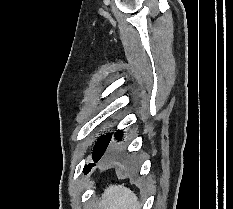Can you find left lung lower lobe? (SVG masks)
I'll use <instances>...</instances> for the list:
<instances>
[{
	"label": "left lung lower lobe",
	"instance_id": "0a47b994",
	"mask_svg": "<svg viewBox=\"0 0 233 209\" xmlns=\"http://www.w3.org/2000/svg\"><path fill=\"white\" fill-rule=\"evenodd\" d=\"M121 134H122V133H121V131L119 130L118 132H116L115 135H116V137L118 138ZM98 160H99V159H95V158H94V161L97 162ZM93 166H94V164L85 165L83 172H84L85 174L89 173L90 169H91Z\"/></svg>",
	"mask_w": 233,
	"mask_h": 209
}]
</instances>
